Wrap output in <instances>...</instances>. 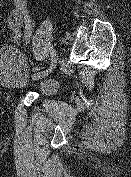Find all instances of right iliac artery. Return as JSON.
Returning a JSON list of instances; mask_svg holds the SVG:
<instances>
[{
	"label": "right iliac artery",
	"instance_id": "82829eb1",
	"mask_svg": "<svg viewBox=\"0 0 131 177\" xmlns=\"http://www.w3.org/2000/svg\"><path fill=\"white\" fill-rule=\"evenodd\" d=\"M55 57H56V51L50 50L48 54V59L44 60V63L46 64V66H44V69H48V67H50V63Z\"/></svg>",
	"mask_w": 131,
	"mask_h": 177
}]
</instances>
